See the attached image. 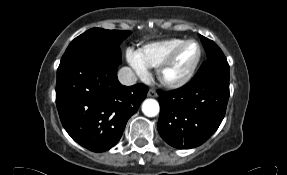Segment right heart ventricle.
Listing matches in <instances>:
<instances>
[{
  "label": "right heart ventricle",
  "mask_w": 287,
  "mask_h": 175,
  "mask_svg": "<svg viewBox=\"0 0 287 175\" xmlns=\"http://www.w3.org/2000/svg\"><path fill=\"white\" fill-rule=\"evenodd\" d=\"M183 41L180 38H169L144 44L138 50L140 61L146 68H158L170 52Z\"/></svg>",
  "instance_id": "1"
}]
</instances>
